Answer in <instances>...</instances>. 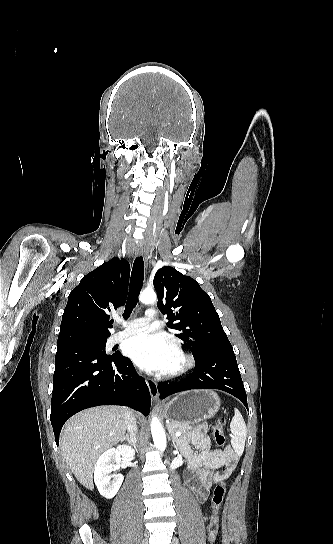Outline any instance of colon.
Listing matches in <instances>:
<instances>
[{
	"instance_id": "colon-1",
	"label": "colon",
	"mask_w": 333,
	"mask_h": 544,
	"mask_svg": "<svg viewBox=\"0 0 333 544\" xmlns=\"http://www.w3.org/2000/svg\"><path fill=\"white\" fill-rule=\"evenodd\" d=\"M226 424V419L224 417L219 418L214 427H213V436L215 444L224 448L225 446V436H224V426ZM228 473V468L226 466L222 467V479L214 486L211 494V516L208 524V541L209 543H214L217 534L219 531V512L222 506L224 499L226 484L225 478Z\"/></svg>"
}]
</instances>
